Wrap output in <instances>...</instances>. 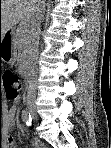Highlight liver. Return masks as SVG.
<instances>
[{
	"label": "liver",
	"instance_id": "1",
	"mask_svg": "<svg viewBox=\"0 0 111 148\" xmlns=\"http://www.w3.org/2000/svg\"><path fill=\"white\" fill-rule=\"evenodd\" d=\"M38 0H1L0 35L2 38L19 21H29L36 10Z\"/></svg>",
	"mask_w": 111,
	"mask_h": 148
}]
</instances>
